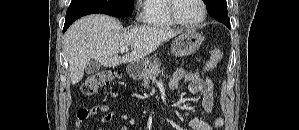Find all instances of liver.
I'll list each match as a JSON object with an SVG mask.
<instances>
[{"mask_svg": "<svg viewBox=\"0 0 299 130\" xmlns=\"http://www.w3.org/2000/svg\"><path fill=\"white\" fill-rule=\"evenodd\" d=\"M181 32L150 26L123 30L121 22L108 15L82 17L64 35V52L69 63L71 83L75 85L81 81L90 60H96L107 68L136 62ZM123 46L131 47V52L121 57L118 50Z\"/></svg>", "mask_w": 299, "mask_h": 130, "instance_id": "6515ba94", "label": "liver"}]
</instances>
